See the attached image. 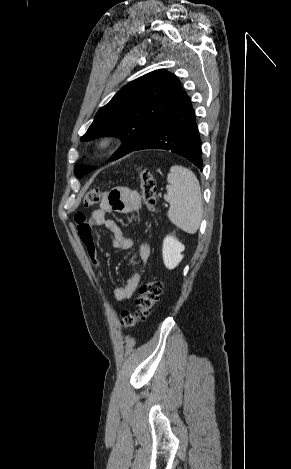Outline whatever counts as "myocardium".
Segmentation results:
<instances>
[{
  "mask_svg": "<svg viewBox=\"0 0 291 469\" xmlns=\"http://www.w3.org/2000/svg\"><path fill=\"white\" fill-rule=\"evenodd\" d=\"M113 143V138L111 136L105 135L96 140L94 147L97 151H105L111 147Z\"/></svg>",
  "mask_w": 291,
  "mask_h": 469,
  "instance_id": "1",
  "label": "myocardium"
}]
</instances>
